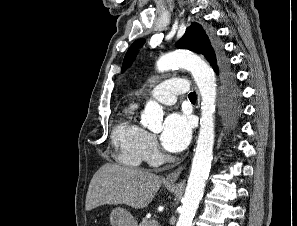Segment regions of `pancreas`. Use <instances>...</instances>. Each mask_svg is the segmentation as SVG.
Masks as SVG:
<instances>
[{
    "mask_svg": "<svg viewBox=\"0 0 297 226\" xmlns=\"http://www.w3.org/2000/svg\"><path fill=\"white\" fill-rule=\"evenodd\" d=\"M138 226H159V224L153 219H143Z\"/></svg>",
    "mask_w": 297,
    "mask_h": 226,
    "instance_id": "pancreas-1",
    "label": "pancreas"
}]
</instances>
